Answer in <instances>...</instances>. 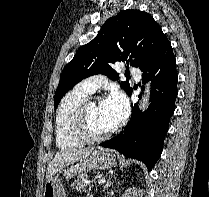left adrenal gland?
I'll use <instances>...</instances> for the list:
<instances>
[{"label":"left adrenal gland","instance_id":"obj_1","mask_svg":"<svg viewBox=\"0 0 209 197\" xmlns=\"http://www.w3.org/2000/svg\"><path fill=\"white\" fill-rule=\"evenodd\" d=\"M111 178H112V174L108 177V180L103 188V191L105 192V190L111 185Z\"/></svg>","mask_w":209,"mask_h":197}]
</instances>
